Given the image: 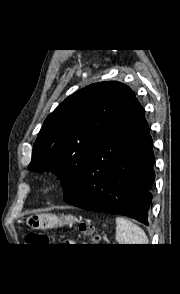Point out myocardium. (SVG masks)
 <instances>
[{
	"instance_id": "1",
	"label": "myocardium",
	"mask_w": 180,
	"mask_h": 294,
	"mask_svg": "<svg viewBox=\"0 0 180 294\" xmlns=\"http://www.w3.org/2000/svg\"><path fill=\"white\" fill-rule=\"evenodd\" d=\"M45 185H46V186L50 185V181L46 180V181H45Z\"/></svg>"
}]
</instances>
